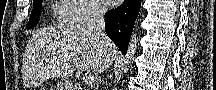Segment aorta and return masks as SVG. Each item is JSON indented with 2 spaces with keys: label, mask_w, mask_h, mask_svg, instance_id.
<instances>
[{
  "label": "aorta",
  "mask_w": 216,
  "mask_h": 90,
  "mask_svg": "<svg viewBox=\"0 0 216 90\" xmlns=\"http://www.w3.org/2000/svg\"><path fill=\"white\" fill-rule=\"evenodd\" d=\"M137 46H138L137 34H136V32H133V34L130 38V42L128 44L126 56H124V60L121 64L119 74H122V76H120V78H123V76H125L126 72H128V70L130 68V64H131L132 60H134V56L137 52Z\"/></svg>",
  "instance_id": "aorta-1"
}]
</instances>
